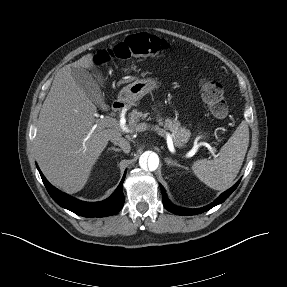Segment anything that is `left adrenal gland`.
Returning a JSON list of instances; mask_svg holds the SVG:
<instances>
[{"mask_svg":"<svg viewBox=\"0 0 287 287\" xmlns=\"http://www.w3.org/2000/svg\"><path fill=\"white\" fill-rule=\"evenodd\" d=\"M165 162L167 164V166H176V167H181V168H185L184 166L180 165L177 163V161L172 160L171 158H165Z\"/></svg>","mask_w":287,"mask_h":287,"instance_id":"obj_1","label":"left adrenal gland"}]
</instances>
